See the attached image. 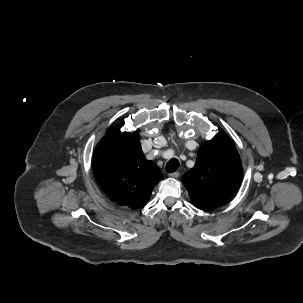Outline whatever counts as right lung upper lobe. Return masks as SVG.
I'll return each mask as SVG.
<instances>
[{"instance_id":"right-lung-upper-lobe-1","label":"right lung upper lobe","mask_w":303,"mask_h":303,"mask_svg":"<svg viewBox=\"0 0 303 303\" xmlns=\"http://www.w3.org/2000/svg\"><path fill=\"white\" fill-rule=\"evenodd\" d=\"M93 170L100 188L119 205L138 209L163 179L159 168L145 159L136 132H110L97 145Z\"/></svg>"}]
</instances>
